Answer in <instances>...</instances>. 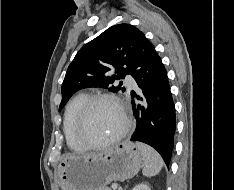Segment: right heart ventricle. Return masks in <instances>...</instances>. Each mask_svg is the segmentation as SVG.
<instances>
[{
	"mask_svg": "<svg viewBox=\"0 0 234 190\" xmlns=\"http://www.w3.org/2000/svg\"><path fill=\"white\" fill-rule=\"evenodd\" d=\"M88 95L85 93H79L71 99L68 103L64 115L63 131L65 134L68 147L76 152H82L87 147L78 139L76 134V124L80 109Z\"/></svg>",
	"mask_w": 234,
	"mask_h": 190,
	"instance_id": "1",
	"label": "right heart ventricle"
}]
</instances>
